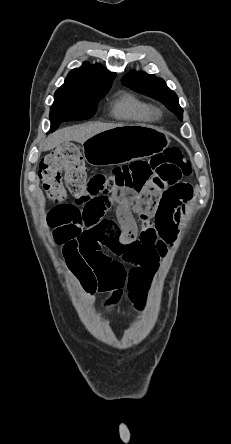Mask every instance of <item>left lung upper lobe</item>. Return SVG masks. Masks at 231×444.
Wrapping results in <instances>:
<instances>
[{
  "label": "left lung upper lobe",
  "mask_w": 231,
  "mask_h": 444,
  "mask_svg": "<svg viewBox=\"0 0 231 444\" xmlns=\"http://www.w3.org/2000/svg\"><path fill=\"white\" fill-rule=\"evenodd\" d=\"M122 84L134 91L159 100L176 113L180 120L183 119V110L178 103V97L175 92L166 86L163 79L144 72L132 71L122 78Z\"/></svg>",
  "instance_id": "left-lung-upper-lobe-1"
}]
</instances>
